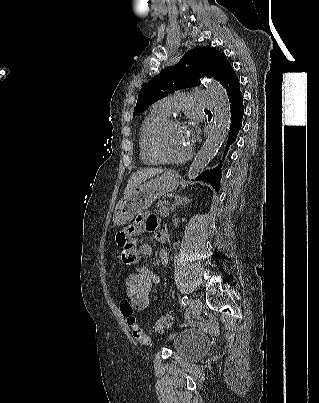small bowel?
<instances>
[{
  "label": "small bowel",
  "mask_w": 319,
  "mask_h": 403,
  "mask_svg": "<svg viewBox=\"0 0 319 403\" xmlns=\"http://www.w3.org/2000/svg\"><path fill=\"white\" fill-rule=\"evenodd\" d=\"M144 232L152 233L158 243L164 244L167 241L165 232L160 229L158 217L150 213L140 214L137 216L132 225L122 226L121 231L115 232V248L121 249V262H126L133 267L132 264L135 263L136 259L138 261L137 266L144 267L140 262L141 257L150 255L153 251L149 244H142L140 239H135V235H139ZM158 259L165 268L168 267V253L165 250L159 251ZM144 275L154 276V283L151 284V288L153 285H158L160 283L159 276L148 270L146 267H144ZM158 299L159 297L155 295L152 297V300H150V303H155L158 301ZM132 308L135 312V305H133Z\"/></svg>",
  "instance_id": "small-bowel-1"
}]
</instances>
